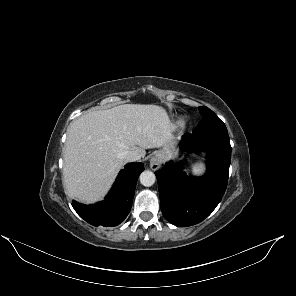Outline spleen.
Here are the masks:
<instances>
[{"instance_id": "obj_1", "label": "spleen", "mask_w": 296, "mask_h": 296, "mask_svg": "<svg viewBox=\"0 0 296 296\" xmlns=\"http://www.w3.org/2000/svg\"><path fill=\"white\" fill-rule=\"evenodd\" d=\"M203 170H204V165L201 162H197V163L193 164V166H192V172L194 174H199V173L203 172Z\"/></svg>"}]
</instances>
